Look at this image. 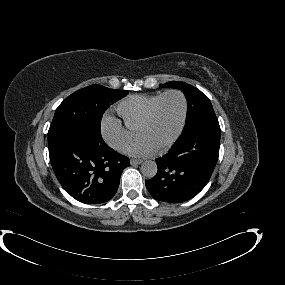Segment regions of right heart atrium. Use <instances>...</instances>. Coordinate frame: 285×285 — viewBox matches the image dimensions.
<instances>
[{
  "instance_id": "obj_1",
  "label": "right heart atrium",
  "mask_w": 285,
  "mask_h": 285,
  "mask_svg": "<svg viewBox=\"0 0 285 285\" xmlns=\"http://www.w3.org/2000/svg\"><path fill=\"white\" fill-rule=\"evenodd\" d=\"M100 131L106 143L118 151H124L131 141V134L122 121L108 114L101 121Z\"/></svg>"
}]
</instances>
